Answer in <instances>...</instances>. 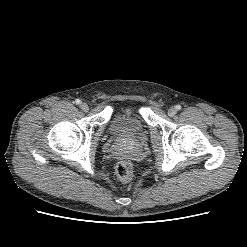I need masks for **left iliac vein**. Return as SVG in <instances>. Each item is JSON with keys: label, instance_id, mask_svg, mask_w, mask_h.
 I'll list each match as a JSON object with an SVG mask.
<instances>
[{"label": "left iliac vein", "instance_id": "left-iliac-vein-1", "mask_svg": "<svg viewBox=\"0 0 247 247\" xmlns=\"http://www.w3.org/2000/svg\"><path fill=\"white\" fill-rule=\"evenodd\" d=\"M176 113H177V109L176 108L171 107V108L168 109V115L170 117H173Z\"/></svg>", "mask_w": 247, "mask_h": 247}]
</instances>
